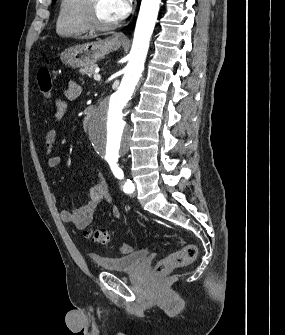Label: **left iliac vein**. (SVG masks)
I'll use <instances>...</instances> for the list:
<instances>
[{"instance_id": "1", "label": "left iliac vein", "mask_w": 285, "mask_h": 335, "mask_svg": "<svg viewBox=\"0 0 285 335\" xmlns=\"http://www.w3.org/2000/svg\"><path fill=\"white\" fill-rule=\"evenodd\" d=\"M135 188H136V185H135ZM137 191H134L133 195H136Z\"/></svg>"}]
</instances>
